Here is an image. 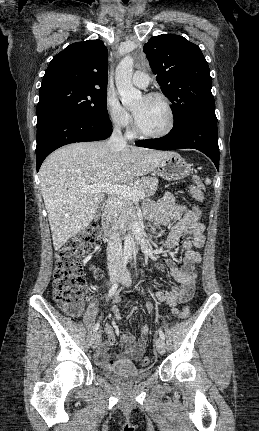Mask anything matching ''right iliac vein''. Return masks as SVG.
<instances>
[{"instance_id": "obj_1", "label": "right iliac vein", "mask_w": 259, "mask_h": 431, "mask_svg": "<svg viewBox=\"0 0 259 431\" xmlns=\"http://www.w3.org/2000/svg\"><path fill=\"white\" fill-rule=\"evenodd\" d=\"M118 275H119V273H118V271H116V270H114V271L111 273L110 282H111L112 284L117 280ZM99 340H100V336H99V334H98V333L93 334V336H92V338H91V347H92L93 349L97 347V345H98V343H99Z\"/></svg>"}]
</instances>
